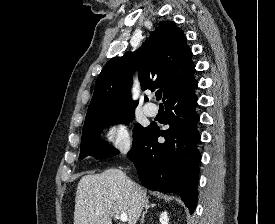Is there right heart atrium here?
Instances as JSON below:
<instances>
[{
  "instance_id": "1",
  "label": "right heart atrium",
  "mask_w": 275,
  "mask_h": 224,
  "mask_svg": "<svg viewBox=\"0 0 275 224\" xmlns=\"http://www.w3.org/2000/svg\"><path fill=\"white\" fill-rule=\"evenodd\" d=\"M107 142L120 152H127L131 147V138L127 127L120 123L110 126L106 131Z\"/></svg>"
}]
</instances>
